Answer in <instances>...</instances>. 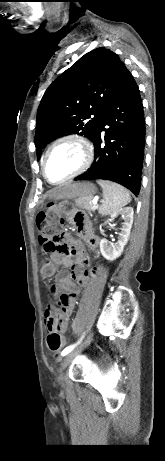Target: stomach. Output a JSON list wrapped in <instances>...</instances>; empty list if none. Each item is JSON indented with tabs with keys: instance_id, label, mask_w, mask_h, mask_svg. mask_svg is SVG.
Listing matches in <instances>:
<instances>
[{
	"instance_id": "obj_1",
	"label": "stomach",
	"mask_w": 165,
	"mask_h": 461,
	"mask_svg": "<svg viewBox=\"0 0 165 461\" xmlns=\"http://www.w3.org/2000/svg\"><path fill=\"white\" fill-rule=\"evenodd\" d=\"M96 194V187L90 182L69 183L55 189L51 197L55 200L89 197Z\"/></svg>"
}]
</instances>
